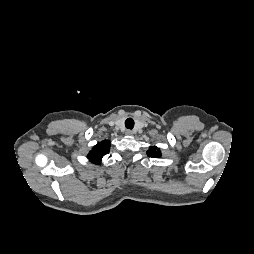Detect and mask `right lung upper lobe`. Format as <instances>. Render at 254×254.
<instances>
[{"label": "right lung upper lobe", "mask_w": 254, "mask_h": 254, "mask_svg": "<svg viewBox=\"0 0 254 254\" xmlns=\"http://www.w3.org/2000/svg\"><path fill=\"white\" fill-rule=\"evenodd\" d=\"M110 150V142L104 140L95 145L92 150L88 154V159L94 164H100L101 159L104 155L109 153Z\"/></svg>", "instance_id": "1"}]
</instances>
